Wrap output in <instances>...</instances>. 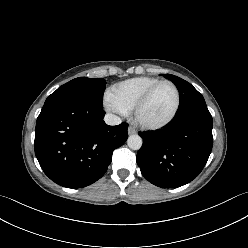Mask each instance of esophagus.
Listing matches in <instances>:
<instances>
[{
	"instance_id": "esophagus-1",
	"label": "esophagus",
	"mask_w": 248,
	"mask_h": 248,
	"mask_svg": "<svg viewBox=\"0 0 248 248\" xmlns=\"http://www.w3.org/2000/svg\"><path fill=\"white\" fill-rule=\"evenodd\" d=\"M136 133V129L133 126L128 127V134L132 135Z\"/></svg>"
}]
</instances>
